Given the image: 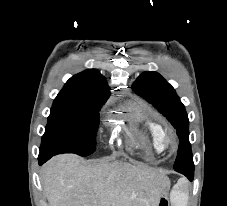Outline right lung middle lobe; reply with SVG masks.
<instances>
[{"instance_id":"obj_1","label":"right lung middle lobe","mask_w":227,"mask_h":206,"mask_svg":"<svg viewBox=\"0 0 227 206\" xmlns=\"http://www.w3.org/2000/svg\"><path fill=\"white\" fill-rule=\"evenodd\" d=\"M107 97L88 98L58 95L51 108L40 155L94 152L99 109Z\"/></svg>"}]
</instances>
